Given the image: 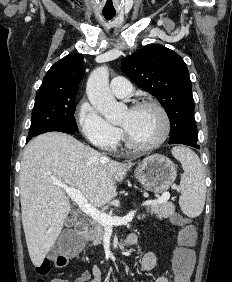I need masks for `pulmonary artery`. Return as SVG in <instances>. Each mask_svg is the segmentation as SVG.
<instances>
[{
  "label": "pulmonary artery",
  "mask_w": 232,
  "mask_h": 282,
  "mask_svg": "<svg viewBox=\"0 0 232 282\" xmlns=\"http://www.w3.org/2000/svg\"><path fill=\"white\" fill-rule=\"evenodd\" d=\"M110 89L117 98H126L131 95V83L124 77L118 76L112 79Z\"/></svg>",
  "instance_id": "e3ab8cb5"
}]
</instances>
